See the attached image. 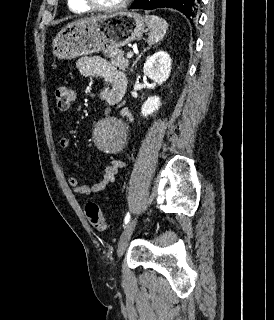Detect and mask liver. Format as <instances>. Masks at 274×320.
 Masks as SVG:
<instances>
[{
	"instance_id": "liver-1",
	"label": "liver",
	"mask_w": 274,
	"mask_h": 320,
	"mask_svg": "<svg viewBox=\"0 0 274 320\" xmlns=\"http://www.w3.org/2000/svg\"><path fill=\"white\" fill-rule=\"evenodd\" d=\"M92 18H99V16H92ZM81 20H90V18H81ZM81 20H75L72 24H76V22H81Z\"/></svg>"
}]
</instances>
